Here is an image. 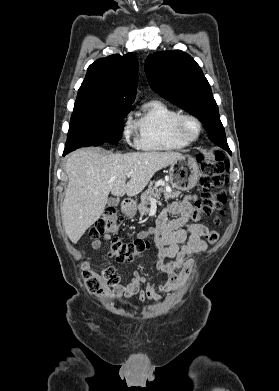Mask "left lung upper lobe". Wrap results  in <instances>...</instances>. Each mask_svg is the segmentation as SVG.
Listing matches in <instances>:
<instances>
[{"mask_svg": "<svg viewBox=\"0 0 279 391\" xmlns=\"http://www.w3.org/2000/svg\"><path fill=\"white\" fill-rule=\"evenodd\" d=\"M144 68L157 94L197 117L209 139L229 151L210 85L191 56L180 50L156 52L146 59Z\"/></svg>", "mask_w": 279, "mask_h": 391, "instance_id": "1", "label": "left lung upper lobe"}]
</instances>
